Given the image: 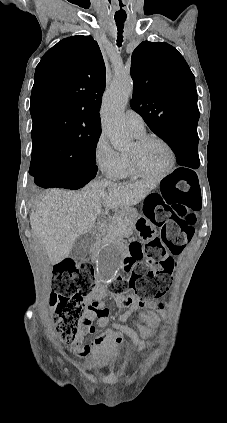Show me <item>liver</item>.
<instances>
[{"label":"liver","instance_id":"1","mask_svg":"<svg viewBox=\"0 0 227 423\" xmlns=\"http://www.w3.org/2000/svg\"><path fill=\"white\" fill-rule=\"evenodd\" d=\"M153 182H135L127 186L111 184L105 186L103 180H93L78 192L68 190H46L40 194L34 210L30 211L29 221L33 235L44 245L52 263H59L68 257L76 237L97 231L96 208L125 210L140 204L151 190Z\"/></svg>","mask_w":227,"mask_h":423}]
</instances>
